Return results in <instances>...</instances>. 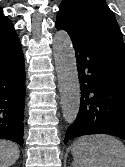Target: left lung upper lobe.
<instances>
[{"mask_svg": "<svg viewBox=\"0 0 125 167\" xmlns=\"http://www.w3.org/2000/svg\"><path fill=\"white\" fill-rule=\"evenodd\" d=\"M56 22L69 34L113 33L122 39L115 16L105 0H63Z\"/></svg>", "mask_w": 125, "mask_h": 167, "instance_id": "1", "label": "left lung upper lobe"}]
</instances>
